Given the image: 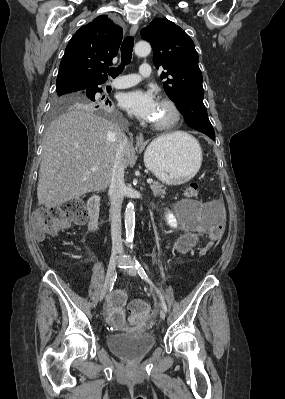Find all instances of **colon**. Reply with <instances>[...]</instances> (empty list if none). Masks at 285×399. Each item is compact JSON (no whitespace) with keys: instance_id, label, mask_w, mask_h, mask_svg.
I'll return each instance as SVG.
<instances>
[{"instance_id":"5ec220e1","label":"colon","mask_w":285,"mask_h":399,"mask_svg":"<svg viewBox=\"0 0 285 399\" xmlns=\"http://www.w3.org/2000/svg\"><path fill=\"white\" fill-rule=\"evenodd\" d=\"M199 194V186L197 183H190L184 189V195L189 198H195ZM87 218V212L82 205L80 199H69L62 204L41 207L37 209L31 216V226L35 234L51 235L55 232L67 229L71 223H82ZM221 239V235L216 231L204 251H208L215 247ZM130 312L138 318H145L150 313V308L141 299L132 301Z\"/></svg>"}]
</instances>
